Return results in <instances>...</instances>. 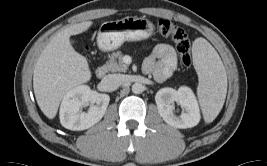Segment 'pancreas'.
<instances>
[{
  "mask_svg": "<svg viewBox=\"0 0 267 166\" xmlns=\"http://www.w3.org/2000/svg\"><path fill=\"white\" fill-rule=\"evenodd\" d=\"M104 68L110 72H126L128 70V65L123 62L122 52L117 51L111 54Z\"/></svg>",
  "mask_w": 267,
  "mask_h": 166,
  "instance_id": "pancreas-1",
  "label": "pancreas"
}]
</instances>
